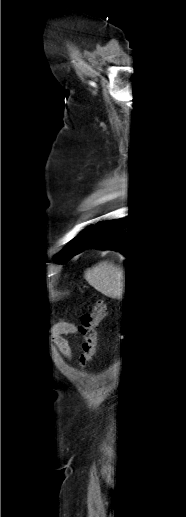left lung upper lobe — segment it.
Instances as JSON below:
<instances>
[{
    "label": "left lung upper lobe",
    "instance_id": "1",
    "mask_svg": "<svg viewBox=\"0 0 186 517\" xmlns=\"http://www.w3.org/2000/svg\"><path fill=\"white\" fill-rule=\"evenodd\" d=\"M94 229V225L86 228L79 235H77L68 245L67 247L57 255L56 262L63 263L70 259L72 256L76 254V252L89 240L92 235V231Z\"/></svg>",
    "mask_w": 186,
    "mask_h": 517
}]
</instances>
